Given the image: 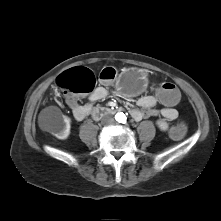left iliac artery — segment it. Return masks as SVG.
<instances>
[{"label":"left iliac artery","instance_id":"44dca946","mask_svg":"<svg viewBox=\"0 0 221 221\" xmlns=\"http://www.w3.org/2000/svg\"><path fill=\"white\" fill-rule=\"evenodd\" d=\"M122 123H125L126 122V117L122 118Z\"/></svg>","mask_w":221,"mask_h":221}]
</instances>
